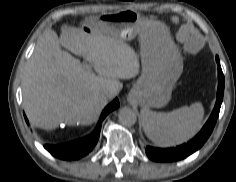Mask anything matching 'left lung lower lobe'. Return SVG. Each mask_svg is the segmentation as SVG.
<instances>
[{"mask_svg": "<svg viewBox=\"0 0 236 182\" xmlns=\"http://www.w3.org/2000/svg\"><path fill=\"white\" fill-rule=\"evenodd\" d=\"M218 63V90H217V100L216 105L214 107V110L200 131L192 140H190L187 144H183L181 146H178L176 148H154L147 146L146 147V154L147 156L154 161L157 162H171V161H177L186 158L196 150H198L208 139L210 134L213 131V128L216 124L217 118L219 116L221 103L223 100V94H224V75L220 66L219 58H217Z\"/></svg>", "mask_w": 236, "mask_h": 182, "instance_id": "obj_1", "label": "left lung lower lobe"}]
</instances>
